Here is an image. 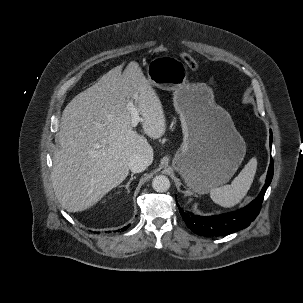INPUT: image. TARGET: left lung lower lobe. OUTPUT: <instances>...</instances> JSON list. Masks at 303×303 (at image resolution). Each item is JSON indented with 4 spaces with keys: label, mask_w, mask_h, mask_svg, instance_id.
Here are the masks:
<instances>
[{
    "label": "left lung lower lobe",
    "mask_w": 303,
    "mask_h": 303,
    "mask_svg": "<svg viewBox=\"0 0 303 303\" xmlns=\"http://www.w3.org/2000/svg\"><path fill=\"white\" fill-rule=\"evenodd\" d=\"M271 143L272 132H270V145ZM273 172V160L271 159L266 182L260 192V195H258L255 200H253L246 207L234 212L203 217L194 215L191 212H186L178 206L182 219L188 228H190L194 233L209 237L229 235L248 227L260 212L265 192L273 177Z\"/></svg>",
    "instance_id": "left-lung-lower-lobe-1"
}]
</instances>
